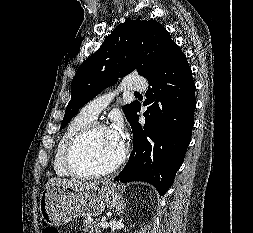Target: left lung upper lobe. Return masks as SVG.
<instances>
[{"instance_id": "left-lung-upper-lobe-1", "label": "left lung upper lobe", "mask_w": 253, "mask_h": 233, "mask_svg": "<svg viewBox=\"0 0 253 233\" xmlns=\"http://www.w3.org/2000/svg\"><path fill=\"white\" fill-rule=\"evenodd\" d=\"M175 43L161 24L153 19L127 18L104 40L101 47L78 68L71 83V100L61 124L64 128L76 112L119 77L133 71L146 77L163 61ZM134 101L123 107L130 122L137 106Z\"/></svg>"}]
</instances>
